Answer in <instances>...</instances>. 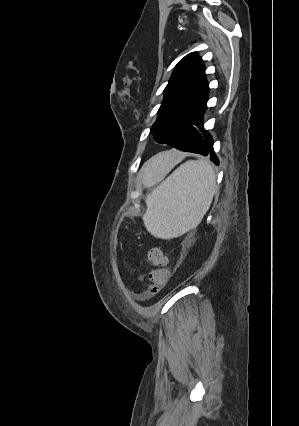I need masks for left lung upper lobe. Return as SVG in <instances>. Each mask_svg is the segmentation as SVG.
<instances>
[{"mask_svg":"<svg viewBox=\"0 0 299 426\" xmlns=\"http://www.w3.org/2000/svg\"><path fill=\"white\" fill-rule=\"evenodd\" d=\"M204 69L202 59L195 52L176 65L165 88L157 120L150 130L156 142L171 145L206 106L209 87Z\"/></svg>","mask_w":299,"mask_h":426,"instance_id":"5c2ea615","label":"left lung upper lobe"}]
</instances>
